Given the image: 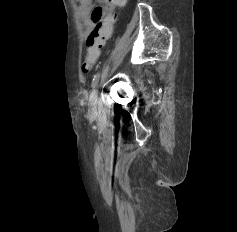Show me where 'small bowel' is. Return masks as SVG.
I'll list each match as a JSON object with an SVG mask.
<instances>
[{
  "mask_svg": "<svg viewBox=\"0 0 237 232\" xmlns=\"http://www.w3.org/2000/svg\"><path fill=\"white\" fill-rule=\"evenodd\" d=\"M80 1V19L84 25V36H88L94 27L102 22L108 12L113 8V0H96L99 5L94 4V0Z\"/></svg>",
  "mask_w": 237,
  "mask_h": 232,
  "instance_id": "c3829d8e",
  "label": "small bowel"
}]
</instances>
